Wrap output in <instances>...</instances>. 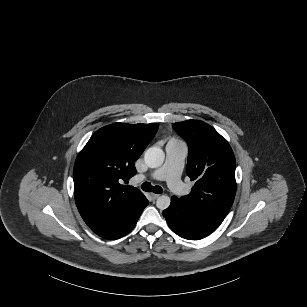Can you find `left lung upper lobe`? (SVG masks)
Returning a JSON list of instances; mask_svg holds the SVG:
<instances>
[{"label": "left lung upper lobe", "mask_w": 307, "mask_h": 307, "mask_svg": "<svg viewBox=\"0 0 307 307\" xmlns=\"http://www.w3.org/2000/svg\"><path fill=\"white\" fill-rule=\"evenodd\" d=\"M188 143L186 173L195 180L180 200L200 219L218 227L228 214L236 193V161L229 143L199 120L172 124Z\"/></svg>", "instance_id": "5c2ea615"}]
</instances>
